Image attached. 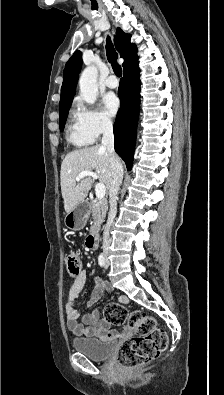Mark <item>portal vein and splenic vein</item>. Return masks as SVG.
I'll use <instances>...</instances> for the list:
<instances>
[{"label": "portal vein and splenic vein", "instance_id": "portal-vein-and-splenic-vein-1", "mask_svg": "<svg viewBox=\"0 0 224 395\" xmlns=\"http://www.w3.org/2000/svg\"><path fill=\"white\" fill-rule=\"evenodd\" d=\"M92 177L93 179H97L98 176L96 173L94 172H90V171H82L81 173H79V175L76 177V181L79 182L82 178L84 177ZM105 193H106V187L104 184L98 183L95 186V194H96V198L97 199H103L105 197Z\"/></svg>", "mask_w": 224, "mask_h": 395}]
</instances>
